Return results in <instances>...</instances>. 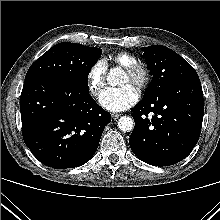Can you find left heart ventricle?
Segmentation results:
<instances>
[{
	"label": "left heart ventricle",
	"mask_w": 220,
	"mask_h": 220,
	"mask_svg": "<svg viewBox=\"0 0 220 220\" xmlns=\"http://www.w3.org/2000/svg\"><path fill=\"white\" fill-rule=\"evenodd\" d=\"M129 83H132V80L130 76L127 73H125L122 84H129Z\"/></svg>",
	"instance_id": "obj_1"
}]
</instances>
